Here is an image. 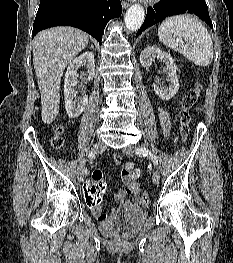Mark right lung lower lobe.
<instances>
[{
  "instance_id": "98d812e1",
  "label": "right lung lower lobe",
  "mask_w": 233,
  "mask_h": 263,
  "mask_svg": "<svg viewBox=\"0 0 233 263\" xmlns=\"http://www.w3.org/2000/svg\"><path fill=\"white\" fill-rule=\"evenodd\" d=\"M121 13L120 0H48L39 6L32 36L53 26H73L92 35L101 45L107 22Z\"/></svg>"
}]
</instances>
